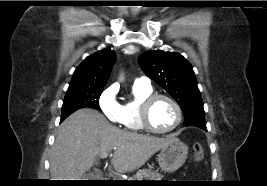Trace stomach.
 <instances>
[{"label": "stomach", "mask_w": 267, "mask_h": 186, "mask_svg": "<svg viewBox=\"0 0 267 186\" xmlns=\"http://www.w3.org/2000/svg\"><path fill=\"white\" fill-rule=\"evenodd\" d=\"M188 146L177 138L161 148L158 155L159 166L166 172H174L179 169L187 159Z\"/></svg>", "instance_id": "0dacf381"}]
</instances>
